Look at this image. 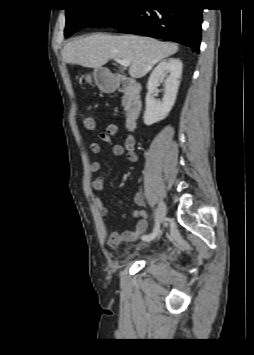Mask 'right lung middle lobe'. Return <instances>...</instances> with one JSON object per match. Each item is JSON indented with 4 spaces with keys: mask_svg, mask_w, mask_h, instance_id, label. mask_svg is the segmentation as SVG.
Here are the masks:
<instances>
[{
    "mask_svg": "<svg viewBox=\"0 0 254 355\" xmlns=\"http://www.w3.org/2000/svg\"><path fill=\"white\" fill-rule=\"evenodd\" d=\"M119 2L94 3L97 7H85L82 9H66L65 37L86 27H109L129 7L134 4L145 2V0H116Z\"/></svg>",
    "mask_w": 254,
    "mask_h": 355,
    "instance_id": "1",
    "label": "right lung middle lobe"
}]
</instances>
